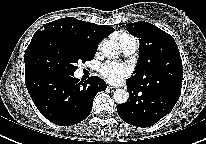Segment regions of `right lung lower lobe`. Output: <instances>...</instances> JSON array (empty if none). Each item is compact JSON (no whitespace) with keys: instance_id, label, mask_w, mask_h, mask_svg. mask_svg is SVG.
<instances>
[{"instance_id":"1","label":"right lung lower lobe","mask_w":206,"mask_h":144,"mask_svg":"<svg viewBox=\"0 0 206 144\" xmlns=\"http://www.w3.org/2000/svg\"><path fill=\"white\" fill-rule=\"evenodd\" d=\"M27 90L40 113L54 124L69 126L83 121L93 100L106 83L97 76L86 82L73 74L36 71L25 74Z\"/></svg>"}]
</instances>
